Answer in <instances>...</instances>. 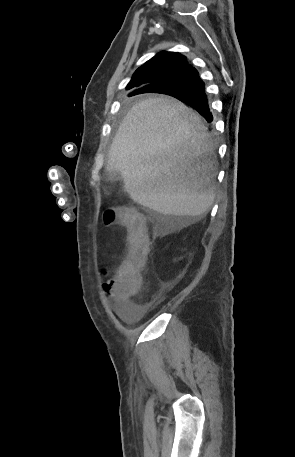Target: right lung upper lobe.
Returning <instances> with one entry per match:
<instances>
[{
    "mask_svg": "<svg viewBox=\"0 0 295 457\" xmlns=\"http://www.w3.org/2000/svg\"><path fill=\"white\" fill-rule=\"evenodd\" d=\"M187 65L186 57L180 53L159 52L135 71L127 89L134 88L137 91L153 84L172 80Z\"/></svg>",
    "mask_w": 295,
    "mask_h": 457,
    "instance_id": "1",
    "label": "right lung upper lobe"
}]
</instances>
